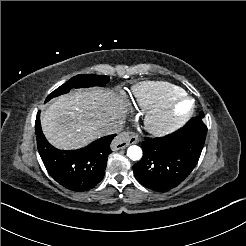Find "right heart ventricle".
Here are the masks:
<instances>
[{"label": "right heart ventricle", "mask_w": 246, "mask_h": 246, "mask_svg": "<svg viewBox=\"0 0 246 246\" xmlns=\"http://www.w3.org/2000/svg\"><path fill=\"white\" fill-rule=\"evenodd\" d=\"M181 89L165 82L143 81L132 87L134 103L144 110H156L178 98Z\"/></svg>", "instance_id": "1"}]
</instances>
